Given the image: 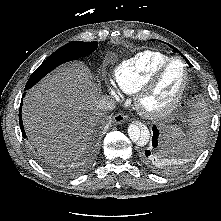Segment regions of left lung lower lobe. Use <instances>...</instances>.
I'll list each match as a JSON object with an SVG mask.
<instances>
[{
  "label": "left lung lower lobe",
  "instance_id": "left-lung-lower-lobe-1",
  "mask_svg": "<svg viewBox=\"0 0 221 221\" xmlns=\"http://www.w3.org/2000/svg\"><path fill=\"white\" fill-rule=\"evenodd\" d=\"M153 137H152V149L145 150L144 153V161L148 164H152L155 161V154L158 151V138H159V131L154 125L153 128Z\"/></svg>",
  "mask_w": 221,
  "mask_h": 221
}]
</instances>
